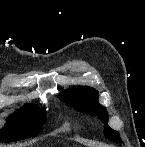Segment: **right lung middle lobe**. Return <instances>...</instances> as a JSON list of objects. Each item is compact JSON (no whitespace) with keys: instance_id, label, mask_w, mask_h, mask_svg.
<instances>
[{"instance_id":"dd1d6c3e","label":"right lung middle lobe","mask_w":145,"mask_h":147,"mask_svg":"<svg viewBox=\"0 0 145 147\" xmlns=\"http://www.w3.org/2000/svg\"><path fill=\"white\" fill-rule=\"evenodd\" d=\"M45 114L46 111L27 104L8 120L0 131V140L17 141L35 136L46 120Z\"/></svg>"}]
</instances>
